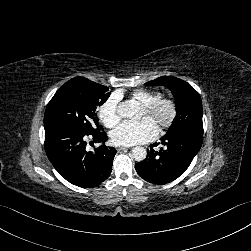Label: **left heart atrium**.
Wrapping results in <instances>:
<instances>
[{
    "label": "left heart atrium",
    "instance_id": "1",
    "mask_svg": "<svg viewBox=\"0 0 251 251\" xmlns=\"http://www.w3.org/2000/svg\"><path fill=\"white\" fill-rule=\"evenodd\" d=\"M158 135V124L151 118L138 122L124 121L112 132V142L115 145L131 146L146 143Z\"/></svg>",
    "mask_w": 251,
    "mask_h": 251
}]
</instances>
